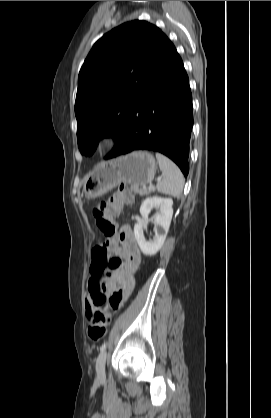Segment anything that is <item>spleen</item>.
Returning <instances> with one entry per match:
<instances>
[{"instance_id":"spleen-1","label":"spleen","mask_w":271,"mask_h":418,"mask_svg":"<svg viewBox=\"0 0 271 418\" xmlns=\"http://www.w3.org/2000/svg\"><path fill=\"white\" fill-rule=\"evenodd\" d=\"M159 167L164 175L163 179L158 181L157 190L160 193L173 197H181L184 187V177L178 166L166 156L156 153Z\"/></svg>"}]
</instances>
